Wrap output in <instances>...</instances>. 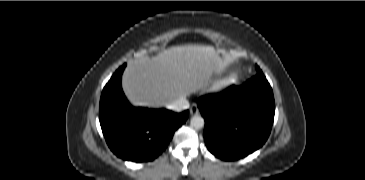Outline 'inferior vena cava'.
Instances as JSON below:
<instances>
[{"instance_id":"inferior-vena-cava-1","label":"inferior vena cava","mask_w":365,"mask_h":180,"mask_svg":"<svg viewBox=\"0 0 365 180\" xmlns=\"http://www.w3.org/2000/svg\"><path fill=\"white\" fill-rule=\"evenodd\" d=\"M168 109L174 110V111H182L189 108V102L186 99V97H181L174 102L166 105Z\"/></svg>"}]
</instances>
